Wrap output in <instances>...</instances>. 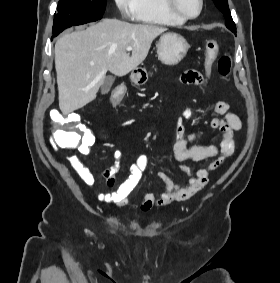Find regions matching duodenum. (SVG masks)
I'll use <instances>...</instances> for the list:
<instances>
[{"label": "duodenum", "instance_id": "1", "mask_svg": "<svg viewBox=\"0 0 280 283\" xmlns=\"http://www.w3.org/2000/svg\"><path fill=\"white\" fill-rule=\"evenodd\" d=\"M134 80L136 83L141 84L145 81V77L138 73L134 75Z\"/></svg>", "mask_w": 280, "mask_h": 283}]
</instances>
